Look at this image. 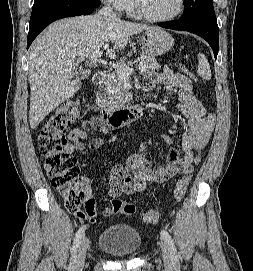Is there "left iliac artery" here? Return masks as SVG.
I'll use <instances>...</instances> for the list:
<instances>
[{"label":"left iliac artery","instance_id":"1","mask_svg":"<svg viewBox=\"0 0 253 271\" xmlns=\"http://www.w3.org/2000/svg\"><path fill=\"white\" fill-rule=\"evenodd\" d=\"M161 237L164 239L170 251V255H171V259H172V263L174 267L178 270L180 267L178 253L171 236L166 230H161Z\"/></svg>","mask_w":253,"mask_h":271}]
</instances>
